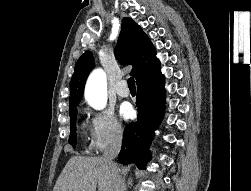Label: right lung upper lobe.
I'll return each instance as SVG.
<instances>
[{"label":"right lung upper lobe","instance_id":"right-lung-upper-lobe-1","mask_svg":"<svg viewBox=\"0 0 251 191\" xmlns=\"http://www.w3.org/2000/svg\"><path fill=\"white\" fill-rule=\"evenodd\" d=\"M115 55L120 63L133 65L130 74L135 77L137 86L161 75V66L154 45L131 18L122 20ZM93 67L92 55L87 51L80 56L75 66L70 86V107L80 103L86 79Z\"/></svg>","mask_w":251,"mask_h":191}]
</instances>
